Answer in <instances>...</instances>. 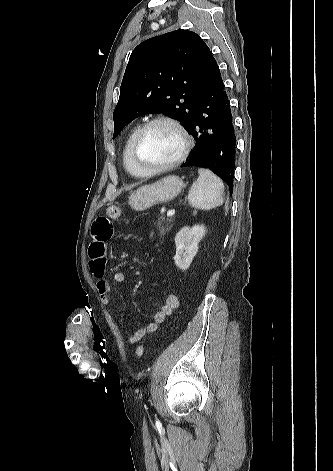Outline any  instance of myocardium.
<instances>
[{
	"mask_svg": "<svg viewBox=\"0 0 333 471\" xmlns=\"http://www.w3.org/2000/svg\"><path fill=\"white\" fill-rule=\"evenodd\" d=\"M167 124L173 127L176 132L178 133L180 140H181V150L179 155L171 162L161 165H148L145 164L140 157L142 145L145 139V136L148 130L155 124ZM191 138L186 131V129L174 118L169 116H156L147 122H145L138 130L137 134L135 135L133 144H132V159L137 167L144 175H151L155 173H160L164 171L171 170L181 163L187 158L190 149H191Z\"/></svg>",
	"mask_w": 333,
	"mask_h": 471,
	"instance_id": "myocardium-1",
	"label": "myocardium"
}]
</instances>
